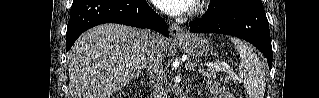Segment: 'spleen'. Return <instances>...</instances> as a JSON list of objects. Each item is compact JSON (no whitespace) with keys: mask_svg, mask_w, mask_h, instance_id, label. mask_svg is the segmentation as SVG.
Here are the masks:
<instances>
[{"mask_svg":"<svg viewBox=\"0 0 319 98\" xmlns=\"http://www.w3.org/2000/svg\"><path fill=\"white\" fill-rule=\"evenodd\" d=\"M231 41L240 54L239 78L249 98H264L266 78L261 61L245 42L236 38H231Z\"/></svg>","mask_w":319,"mask_h":98,"instance_id":"3e777b00","label":"spleen"}]
</instances>
